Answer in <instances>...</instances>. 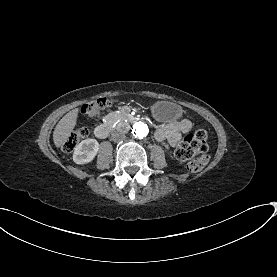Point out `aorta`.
<instances>
[{"instance_id":"762f6f07","label":"aorta","mask_w":277,"mask_h":277,"mask_svg":"<svg viewBox=\"0 0 277 277\" xmlns=\"http://www.w3.org/2000/svg\"><path fill=\"white\" fill-rule=\"evenodd\" d=\"M149 128L144 122H136L132 126V134L135 138L143 139L147 136Z\"/></svg>"}]
</instances>
